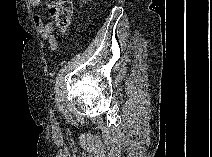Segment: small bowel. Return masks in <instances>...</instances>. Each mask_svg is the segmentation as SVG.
Segmentation results:
<instances>
[{
  "instance_id": "1",
  "label": "small bowel",
  "mask_w": 212,
  "mask_h": 157,
  "mask_svg": "<svg viewBox=\"0 0 212 157\" xmlns=\"http://www.w3.org/2000/svg\"><path fill=\"white\" fill-rule=\"evenodd\" d=\"M28 6L31 8H36L41 5V0H29ZM33 22L38 31L41 33L43 39L48 43L51 51L57 50V41L54 36V27L51 23H44L39 15L33 16Z\"/></svg>"
}]
</instances>
